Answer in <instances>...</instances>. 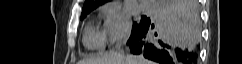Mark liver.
<instances>
[{
  "instance_id": "1",
  "label": "liver",
  "mask_w": 242,
  "mask_h": 64,
  "mask_svg": "<svg viewBox=\"0 0 242 64\" xmlns=\"http://www.w3.org/2000/svg\"><path fill=\"white\" fill-rule=\"evenodd\" d=\"M180 25L186 34L193 36L196 41L200 38V29L198 23L193 19L188 11H183L179 19ZM78 64H154L140 56L127 55L123 56L118 53L102 56L97 59H84Z\"/></svg>"
}]
</instances>
